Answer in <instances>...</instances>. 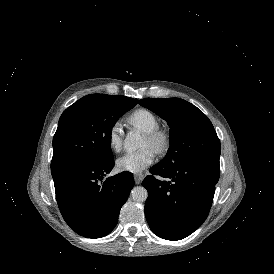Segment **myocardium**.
Segmentation results:
<instances>
[{"mask_svg": "<svg viewBox=\"0 0 274 274\" xmlns=\"http://www.w3.org/2000/svg\"><path fill=\"white\" fill-rule=\"evenodd\" d=\"M145 137L148 139L153 151L157 154H163L170 148L171 138L166 131L157 129L151 133H146Z\"/></svg>", "mask_w": 274, "mask_h": 274, "instance_id": "f54148a6", "label": "myocardium"}]
</instances>
